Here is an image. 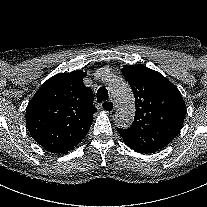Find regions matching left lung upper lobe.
<instances>
[{
	"mask_svg": "<svg viewBox=\"0 0 207 207\" xmlns=\"http://www.w3.org/2000/svg\"><path fill=\"white\" fill-rule=\"evenodd\" d=\"M123 75L132 88L136 112L133 124L118 129L127 146L139 153H154L180 132L186 106L180 91L161 73L145 66H126Z\"/></svg>",
	"mask_w": 207,
	"mask_h": 207,
	"instance_id": "5c2ea615",
	"label": "left lung upper lobe"
}]
</instances>
